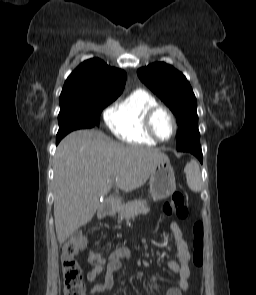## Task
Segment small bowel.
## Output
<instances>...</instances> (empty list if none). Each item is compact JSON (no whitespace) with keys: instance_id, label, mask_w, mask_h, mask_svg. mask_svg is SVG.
Instances as JSON below:
<instances>
[{"instance_id":"obj_1","label":"small bowel","mask_w":256,"mask_h":295,"mask_svg":"<svg viewBox=\"0 0 256 295\" xmlns=\"http://www.w3.org/2000/svg\"><path fill=\"white\" fill-rule=\"evenodd\" d=\"M170 229L176 246L175 260H168L167 267L172 272L178 274L177 286L167 291L166 295H182L189 288L188 278L190 274V252L187 240L176 222H172ZM131 259V253L126 247L116 248L107 258L106 261H100L93 264L92 269L87 274V280L93 284L92 294L102 293L110 290L113 286V273L122 266V260ZM104 274L103 283H96L97 278Z\"/></svg>"}]
</instances>
